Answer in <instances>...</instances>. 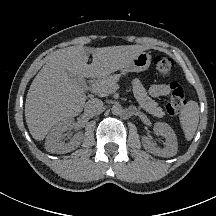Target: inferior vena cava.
<instances>
[{
  "instance_id": "inferior-vena-cava-1",
  "label": "inferior vena cava",
  "mask_w": 216,
  "mask_h": 216,
  "mask_svg": "<svg viewBox=\"0 0 216 216\" xmlns=\"http://www.w3.org/2000/svg\"><path fill=\"white\" fill-rule=\"evenodd\" d=\"M103 108V102L100 99L93 98L86 102L85 110L90 114H96Z\"/></svg>"
}]
</instances>
